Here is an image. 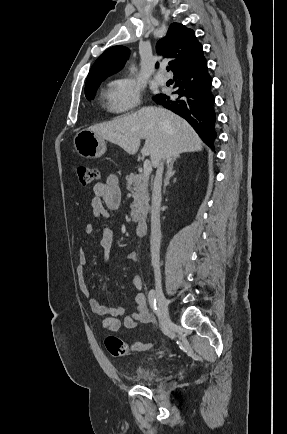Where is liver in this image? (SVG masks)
Wrapping results in <instances>:
<instances>
[{
	"mask_svg": "<svg viewBox=\"0 0 287 434\" xmlns=\"http://www.w3.org/2000/svg\"><path fill=\"white\" fill-rule=\"evenodd\" d=\"M103 139L136 154L145 139L142 157L150 156L153 167L181 153L201 151L204 144L192 127L181 117L162 107H143L138 111L89 128Z\"/></svg>",
	"mask_w": 287,
	"mask_h": 434,
	"instance_id": "6515ba94",
	"label": "liver"
}]
</instances>
